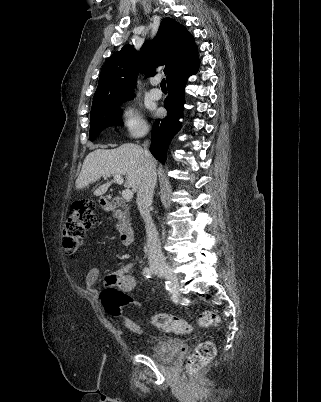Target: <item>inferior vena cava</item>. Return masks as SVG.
<instances>
[{
	"mask_svg": "<svg viewBox=\"0 0 321 402\" xmlns=\"http://www.w3.org/2000/svg\"><path fill=\"white\" fill-rule=\"evenodd\" d=\"M148 141L144 143V171L137 191L138 210L145 222L147 234L148 261L151 267H165L159 234L150 215L153 191L157 181V173L153 157L148 149Z\"/></svg>",
	"mask_w": 321,
	"mask_h": 402,
	"instance_id": "602c4592",
	"label": "inferior vena cava"
}]
</instances>
